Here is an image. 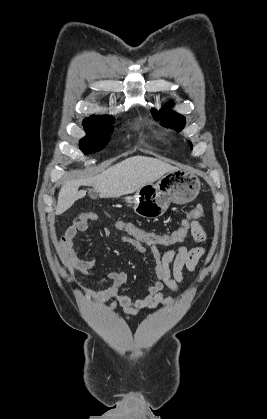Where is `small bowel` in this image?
<instances>
[{
	"mask_svg": "<svg viewBox=\"0 0 267 419\" xmlns=\"http://www.w3.org/2000/svg\"><path fill=\"white\" fill-rule=\"evenodd\" d=\"M97 219L98 216L94 212L86 211L81 213L60 238L59 249L62 254V260L71 277L77 272L92 280L102 278L101 275L92 272L97 265V260L82 259L75 248L78 235L85 232L89 224ZM190 233L194 241L198 243L203 242L206 238L205 230L198 220L191 222ZM103 235L111 238L112 232L105 228L103 229ZM131 247L138 254H150L153 258L156 280L148 287L147 294L137 299L121 294V288L127 283L129 276L124 271H111L106 275L110 285L105 290L95 291L90 288H81L88 301L110 300L111 310L120 307L126 314L132 316H136L144 310H152L158 306L171 304L174 299L170 296H164V288H169L175 292L179 291L184 279V270L187 269L194 272L200 258L205 254V249L202 246L194 248L180 246L177 249L170 248L167 250L156 247L150 248L139 244Z\"/></svg>",
	"mask_w": 267,
	"mask_h": 419,
	"instance_id": "obj_1",
	"label": "small bowel"
}]
</instances>
